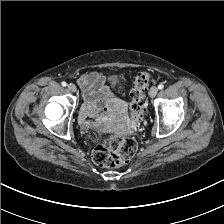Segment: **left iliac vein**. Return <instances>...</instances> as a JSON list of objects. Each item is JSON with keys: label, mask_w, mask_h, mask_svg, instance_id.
Segmentation results:
<instances>
[{"label": "left iliac vein", "mask_w": 224, "mask_h": 224, "mask_svg": "<svg viewBox=\"0 0 224 224\" xmlns=\"http://www.w3.org/2000/svg\"><path fill=\"white\" fill-rule=\"evenodd\" d=\"M158 93V88L156 86H152L150 91H149V95L151 98H154Z\"/></svg>", "instance_id": "4c4485c4"}]
</instances>
